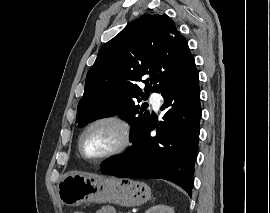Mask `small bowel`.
I'll use <instances>...</instances> for the list:
<instances>
[{"label":"small bowel","mask_w":270,"mask_h":213,"mask_svg":"<svg viewBox=\"0 0 270 213\" xmlns=\"http://www.w3.org/2000/svg\"><path fill=\"white\" fill-rule=\"evenodd\" d=\"M96 213H115V210L111 206H103Z\"/></svg>","instance_id":"1"}]
</instances>
